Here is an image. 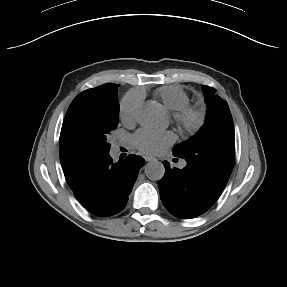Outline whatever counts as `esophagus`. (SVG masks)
I'll use <instances>...</instances> for the list:
<instances>
[{
	"label": "esophagus",
	"instance_id": "esophagus-1",
	"mask_svg": "<svg viewBox=\"0 0 287 287\" xmlns=\"http://www.w3.org/2000/svg\"><path fill=\"white\" fill-rule=\"evenodd\" d=\"M145 160H146V161H150L151 159H150V158H145Z\"/></svg>",
	"mask_w": 287,
	"mask_h": 287
}]
</instances>
